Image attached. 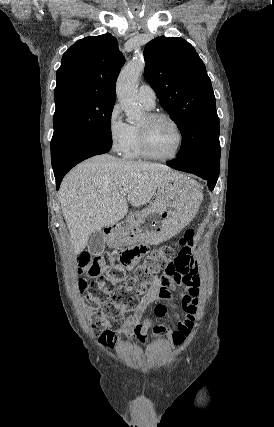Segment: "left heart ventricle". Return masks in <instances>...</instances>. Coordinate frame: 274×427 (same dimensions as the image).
<instances>
[{"mask_svg":"<svg viewBox=\"0 0 274 427\" xmlns=\"http://www.w3.org/2000/svg\"><path fill=\"white\" fill-rule=\"evenodd\" d=\"M144 116L140 126L145 125ZM147 144L149 150L157 156H169L177 147V134L173 126L166 120L159 119L147 125Z\"/></svg>","mask_w":274,"mask_h":427,"instance_id":"1","label":"left heart ventricle"}]
</instances>
